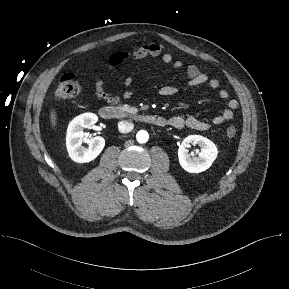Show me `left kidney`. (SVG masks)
<instances>
[{"mask_svg":"<svg viewBox=\"0 0 289 289\" xmlns=\"http://www.w3.org/2000/svg\"><path fill=\"white\" fill-rule=\"evenodd\" d=\"M198 144L200 152L197 156H191L186 147L189 144ZM218 150L209 139L200 135H190L183 140L178 149V158L181 167L189 173H200L207 170L216 159Z\"/></svg>","mask_w":289,"mask_h":289,"instance_id":"1","label":"left kidney"}]
</instances>
